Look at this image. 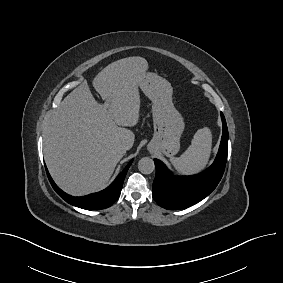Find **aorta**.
Masks as SVG:
<instances>
[{
	"label": "aorta",
	"instance_id": "762f6f07",
	"mask_svg": "<svg viewBox=\"0 0 283 283\" xmlns=\"http://www.w3.org/2000/svg\"><path fill=\"white\" fill-rule=\"evenodd\" d=\"M138 169L143 174H151L155 170L154 161L149 157H143L138 162Z\"/></svg>",
	"mask_w": 283,
	"mask_h": 283
}]
</instances>
